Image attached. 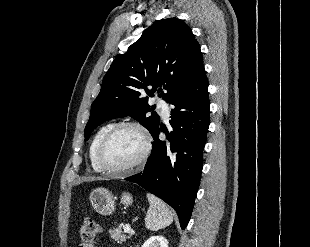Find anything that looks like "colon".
<instances>
[{
  "label": "colon",
  "instance_id": "1",
  "mask_svg": "<svg viewBox=\"0 0 310 247\" xmlns=\"http://www.w3.org/2000/svg\"><path fill=\"white\" fill-rule=\"evenodd\" d=\"M98 232V224L93 219H84L80 226V247H93Z\"/></svg>",
  "mask_w": 310,
  "mask_h": 247
}]
</instances>
